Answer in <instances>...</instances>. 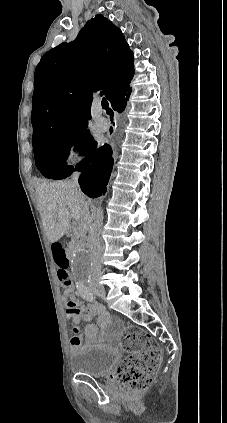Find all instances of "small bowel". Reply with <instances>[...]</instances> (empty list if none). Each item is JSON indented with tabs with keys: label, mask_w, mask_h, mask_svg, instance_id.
Listing matches in <instances>:
<instances>
[{
	"label": "small bowel",
	"mask_w": 227,
	"mask_h": 423,
	"mask_svg": "<svg viewBox=\"0 0 227 423\" xmlns=\"http://www.w3.org/2000/svg\"><path fill=\"white\" fill-rule=\"evenodd\" d=\"M76 291L73 286L65 289L62 300L65 303L66 317L74 326L73 336L70 339V346L72 351H76L82 344V336L78 329V324L82 320L89 321L84 328V335L89 343H94L102 339L100 330L107 329L111 324H118L100 304L91 302L84 305L76 297ZM96 317L97 322H91V318Z\"/></svg>",
	"instance_id": "obj_1"
}]
</instances>
